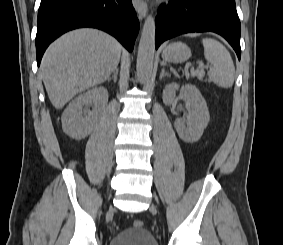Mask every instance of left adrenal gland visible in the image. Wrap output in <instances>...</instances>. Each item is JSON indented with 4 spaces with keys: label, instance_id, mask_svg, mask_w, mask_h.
I'll return each mask as SVG.
<instances>
[{
    "label": "left adrenal gland",
    "instance_id": "a2214340",
    "mask_svg": "<svg viewBox=\"0 0 283 245\" xmlns=\"http://www.w3.org/2000/svg\"><path fill=\"white\" fill-rule=\"evenodd\" d=\"M165 76H170V74L167 73V72L165 71L164 67H163L159 78L162 79V78L165 77Z\"/></svg>",
    "mask_w": 283,
    "mask_h": 245
}]
</instances>
